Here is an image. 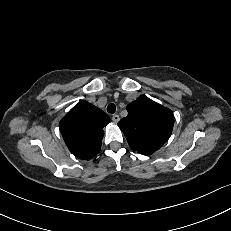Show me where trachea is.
<instances>
[{"instance_id": "3493384b", "label": "trachea", "mask_w": 231, "mask_h": 231, "mask_svg": "<svg viewBox=\"0 0 231 231\" xmlns=\"http://www.w3.org/2000/svg\"><path fill=\"white\" fill-rule=\"evenodd\" d=\"M115 111H116V106H115V104L111 103V104H109V105L107 106V112H108V113L113 114V113H115Z\"/></svg>"}]
</instances>
